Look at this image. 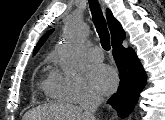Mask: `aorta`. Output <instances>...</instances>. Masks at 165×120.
<instances>
[{
	"mask_svg": "<svg viewBox=\"0 0 165 120\" xmlns=\"http://www.w3.org/2000/svg\"><path fill=\"white\" fill-rule=\"evenodd\" d=\"M86 29L79 18H71L66 25L63 43L60 48L62 67L69 75H75L83 69V45Z\"/></svg>",
	"mask_w": 165,
	"mask_h": 120,
	"instance_id": "1",
	"label": "aorta"
}]
</instances>
